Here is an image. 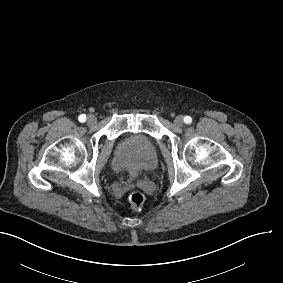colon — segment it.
Listing matches in <instances>:
<instances>
[{
  "mask_svg": "<svg viewBox=\"0 0 283 283\" xmlns=\"http://www.w3.org/2000/svg\"><path fill=\"white\" fill-rule=\"evenodd\" d=\"M129 203L136 209L141 208L146 202V195L141 190H135L128 196Z\"/></svg>",
  "mask_w": 283,
  "mask_h": 283,
  "instance_id": "colon-1",
  "label": "colon"
}]
</instances>
